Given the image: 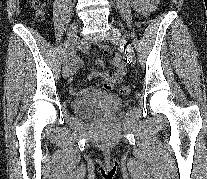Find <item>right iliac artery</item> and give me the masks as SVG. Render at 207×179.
<instances>
[{"mask_svg": "<svg viewBox=\"0 0 207 179\" xmlns=\"http://www.w3.org/2000/svg\"><path fill=\"white\" fill-rule=\"evenodd\" d=\"M69 46V43L66 41L64 43V47L62 49V58H63V62H65L67 60V52H66V49L67 47Z\"/></svg>", "mask_w": 207, "mask_h": 179, "instance_id": "obj_1", "label": "right iliac artery"}]
</instances>
